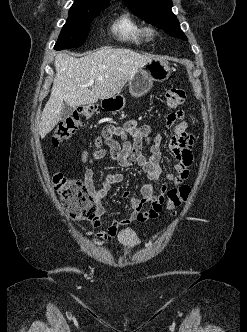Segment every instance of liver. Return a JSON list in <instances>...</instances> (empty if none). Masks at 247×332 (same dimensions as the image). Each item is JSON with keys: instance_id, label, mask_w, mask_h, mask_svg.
<instances>
[{"instance_id": "liver-1", "label": "liver", "mask_w": 247, "mask_h": 332, "mask_svg": "<svg viewBox=\"0 0 247 332\" xmlns=\"http://www.w3.org/2000/svg\"><path fill=\"white\" fill-rule=\"evenodd\" d=\"M154 58L157 57L110 47L81 58L57 53L51 95L39 123L41 138H45L59 122L64 102L75 108L114 97L140 67ZM91 80H94L92 88L84 87Z\"/></svg>"}]
</instances>
